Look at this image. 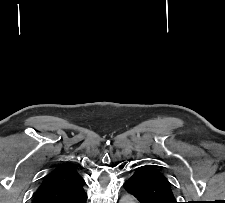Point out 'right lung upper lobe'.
Returning <instances> with one entry per match:
<instances>
[{
	"label": "right lung upper lobe",
	"mask_w": 225,
	"mask_h": 203,
	"mask_svg": "<svg viewBox=\"0 0 225 203\" xmlns=\"http://www.w3.org/2000/svg\"><path fill=\"white\" fill-rule=\"evenodd\" d=\"M86 183L77 170L68 165L54 169L43 180L33 203L73 201L85 193Z\"/></svg>",
	"instance_id": "cb5924a9"
}]
</instances>
